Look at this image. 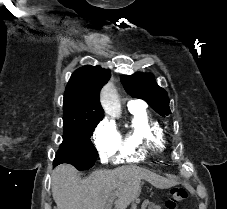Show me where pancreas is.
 <instances>
[{"label": "pancreas", "mask_w": 227, "mask_h": 209, "mask_svg": "<svg viewBox=\"0 0 227 209\" xmlns=\"http://www.w3.org/2000/svg\"><path fill=\"white\" fill-rule=\"evenodd\" d=\"M145 209H155L154 206H149V207H146Z\"/></svg>", "instance_id": "cf45deb5"}]
</instances>
